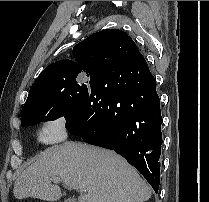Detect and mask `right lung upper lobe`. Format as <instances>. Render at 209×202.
I'll list each match as a JSON object with an SVG mask.
<instances>
[{"label": "right lung upper lobe", "instance_id": "1", "mask_svg": "<svg viewBox=\"0 0 209 202\" xmlns=\"http://www.w3.org/2000/svg\"><path fill=\"white\" fill-rule=\"evenodd\" d=\"M73 56L74 61H57L40 73L30 89L22 112L29 109L32 103H39L38 100H33V96L50 78L83 72L96 79L113 72L125 74L131 60L143 58L134 41L118 29L102 30L92 34L74 46ZM25 124L27 121L21 118V125Z\"/></svg>", "mask_w": 209, "mask_h": 202}]
</instances>
